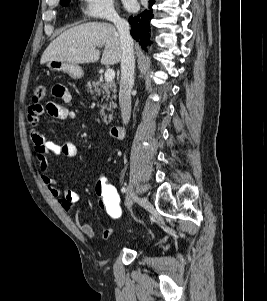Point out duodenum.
Returning a JSON list of instances; mask_svg holds the SVG:
<instances>
[{
	"label": "duodenum",
	"mask_w": 267,
	"mask_h": 301,
	"mask_svg": "<svg viewBox=\"0 0 267 301\" xmlns=\"http://www.w3.org/2000/svg\"><path fill=\"white\" fill-rule=\"evenodd\" d=\"M123 133V126L122 125H114L110 129V135L112 138H120Z\"/></svg>",
	"instance_id": "1"
}]
</instances>
